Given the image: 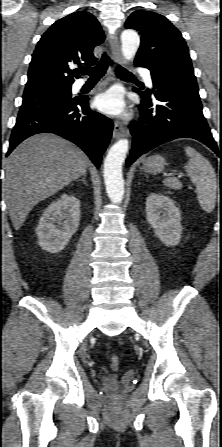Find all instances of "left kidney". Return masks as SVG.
I'll return each instance as SVG.
<instances>
[{
	"label": "left kidney",
	"instance_id": "left-kidney-1",
	"mask_svg": "<svg viewBox=\"0 0 222 447\" xmlns=\"http://www.w3.org/2000/svg\"><path fill=\"white\" fill-rule=\"evenodd\" d=\"M146 217L156 236L166 246H175L180 242L181 213L172 199L163 194L151 193L146 199Z\"/></svg>",
	"mask_w": 222,
	"mask_h": 447
}]
</instances>
